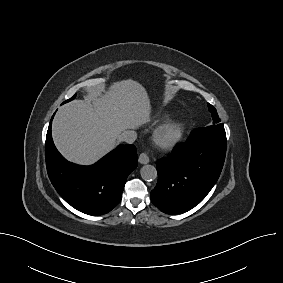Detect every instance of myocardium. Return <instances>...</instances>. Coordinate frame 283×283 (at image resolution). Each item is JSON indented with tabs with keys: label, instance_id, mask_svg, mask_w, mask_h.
I'll return each instance as SVG.
<instances>
[{
	"label": "myocardium",
	"instance_id": "f54148a6",
	"mask_svg": "<svg viewBox=\"0 0 283 283\" xmlns=\"http://www.w3.org/2000/svg\"><path fill=\"white\" fill-rule=\"evenodd\" d=\"M184 132L185 126L182 122L169 120L154 131V144L162 150H170L180 143Z\"/></svg>",
	"mask_w": 283,
	"mask_h": 283
}]
</instances>
